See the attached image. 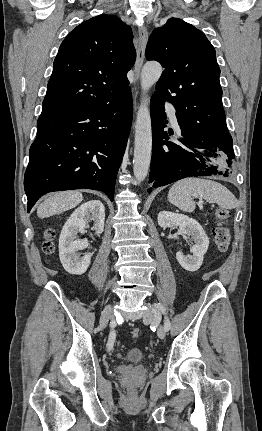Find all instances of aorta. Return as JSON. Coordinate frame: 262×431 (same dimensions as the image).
Instances as JSON below:
<instances>
[{
  "label": "aorta",
  "instance_id": "aorta-1",
  "mask_svg": "<svg viewBox=\"0 0 262 431\" xmlns=\"http://www.w3.org/2000/svg\"><path fill=\"white\" fill-rule=\"evenodd\" d=\"M162 67L157 62L146 63L141 71V87L143 92L149 90L160 78ZM152 151L151 117L147 101L142 100L135 122V146L133 172L138 181H143L148 174Z\"/></svg>",
  "mask_w": 262,
  "mask_h": 431
}]
</instances>
